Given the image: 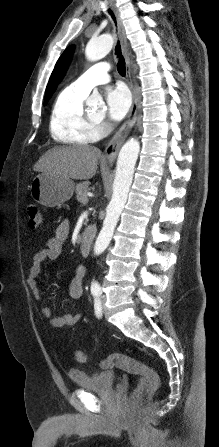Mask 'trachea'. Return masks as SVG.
<instances>
[{
	"label": "trachea",
	"instance_id": "1",
	"mask_svg": "<svg viewBox=\"0 0 219 447\" xmlns=\"http://www.w3.org/2000/svg\"><path fill=\"white\" fill-rule=\"evenodd\" d=\"M110 14L112 15L113 19L115 20L114 15L112 14V12L110 11ZM116 22V21H115ZM116 54L117 56L120 58L117 64L118 67V72L121 76H124L126 73V67H125V59L122 57V53H121V47H120V43L118 42L117 46H116Z\"/></svg>",
	"mask_w": 219,
	"mask_h": 447
}]
</instances>
